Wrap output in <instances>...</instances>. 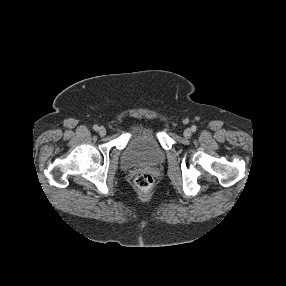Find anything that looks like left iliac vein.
Instances as JSON below:
<instances>
[{
	"label": "left iliac vein",
	"mask_w": 286,
	"mask_h": 286,
	"mask_svg": "<svg viewBox=\"0 0 286 286\" xmlns=\"http://www.w3.org/2000/svg\"><path fill=\"white\" fill-rule=\"evenodd\" d=\"M191 135H192V130L190 128H187V129L184 130V136L186 138H190Z\"/></svg>",
	"instance_id": "obj_1"
}]
</instances>
